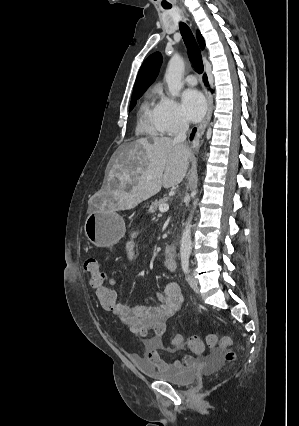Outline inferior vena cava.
I'll list each match as a JSON object with an SVG mask.
<instances>
[{
    "instance_id": "inferior-vena-cava-1",
    "label": "inferior vena cava",
    "mask_w": 299,
    "mask_h": 426,
    "mask_svg": "<svg viewBox=\"0 0 299 426\" xmlns=\"http://www.w3.org/2000/svg\"><path fill=\"white\" fill-rule=\"evenodd\" d=\"M188 129H189L188 122L186 120H183L181 122V124H180L179 131L175 135L173 141L175 143H179V144L185 145V141H186V137H187L186 133H187Z\"/></svg>"
}]
</instances>
